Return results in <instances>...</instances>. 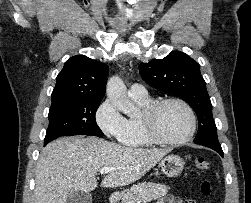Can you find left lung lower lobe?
<instances>
[{
  "label": "left lung lower lobe",
  "mask_w": 251,
  "mask_h": 203,
  "mask_svg": "<svg viewBox=\"0 0 251 203\" xmlns=\"http://www.w3.org/2000/svg\"><path fill=\"white\" fill-rule=\"evenodd\" d=\"M209 148L215 150L216 152H218L223 157V151H222L221 146H219V147H209Z\"/></svg>",
  "instance_id": "0a47b994"
}]
</instances>
